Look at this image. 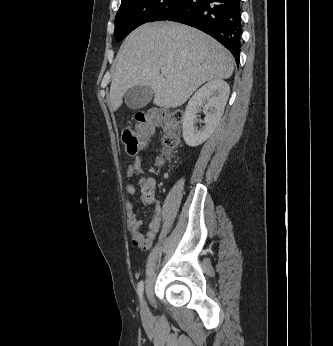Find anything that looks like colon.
Wrapping results in <instances>:
<instances>
[{"mask_svg": "<svg viewBox=\"0 0 333 346\" xmlns=\"http://www.w3.org/2000/svg\"><path fill=\"white\" fill-rule=\"evenodd\" d=\"M135 126L127 127L122 131V142L128 155H135L144 149L147 139L158 129L163 131L164 156L171 153L179 144V127L183 119L181 110H170L162 113L158 109L137 112L134 116ZM162 158L158 161L162 162Z\"/></svg>", "mask_w": 333, "mask_h": 346, "instance_id": "5ec220e1", "label": "colon"}]
</instances>
